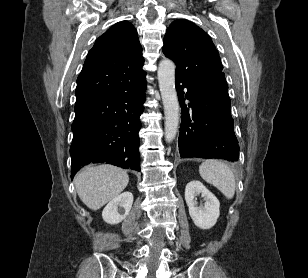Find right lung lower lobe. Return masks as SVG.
Wrapping results in <instances>:
<instances>
[{
    "label": "right lung lower lobe",
    "mask_w": 308,
    "mask_h": 278,
    "mask_svg": "<svg viewBox=\"0 0 308 278\" xmlns=\"http://www.w3.org/2000/svg\"><path fill=\"white\" fill-rule=\"evenodd\" d=\"M145 88L144 77L126 92L75 105L71 178L91 162L140 171L138 131Z\"/></svg>",
    "instance_id": "98d812e1"
}]
</instances>
